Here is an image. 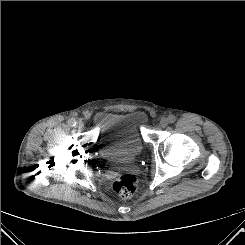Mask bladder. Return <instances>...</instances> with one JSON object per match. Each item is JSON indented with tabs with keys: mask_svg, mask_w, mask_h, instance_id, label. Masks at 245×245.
<instances>
[{
	"mask_svg": "<svg viewBox=\"0 0 245 245\" xmlns=\"http://www.w3.org/2000/svg\"><path fill=\"white\" fill-rule=\"evenodd\" d=\"M147 120L142 110L104 111L96 115L101 153L109 161H128L144 149L142 127Z\"/></svg>",
	"mask_w": 245,
	"mask_h": 245,
	"instance_id": "1",
	"label": "bladder"
}]
</instances>
